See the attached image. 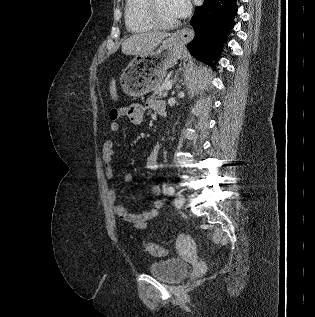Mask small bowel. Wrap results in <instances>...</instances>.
<instances>
[{"mask_svg":"<svg viewBox=\"0 0 315 317\" xmlns=\"http://www.w3.org/2000/svg\"><path fill=\"white\" fill-rule=\"evenodd\" d=\"M147 109L154 110L159 114L165 111V103L161 100L150 98L145 104H131L127 107L113 108L109 113L110 123L109 130L111 132H116L119 130V120L122 117H127L130 122L134 125H140L145 116ZM158 154L159 146L155 145L146 160V168L149 170H157L159 168L158 164ZM102 159L104 163L105 175L108 179L114 177V143L112 140H107L103 144ZM125 183H131L133 181V176L127 174L124 178ZM152 193L154 195H159L161 193V186L155 184L152 187ZM109 200L113 204V210L115 215L125 221L132 223L135 229H146L148 226V221L156 217L159 213V210L162 208V201L156 199L153 201V206L147 211L141 212H130L122 204L116 203V193L114 190H111L109 193Z\"/></svg>","mask_w":315,"mask_h":317,"instance_id":"obj_1","label":"small bowel"}]
</instances>
